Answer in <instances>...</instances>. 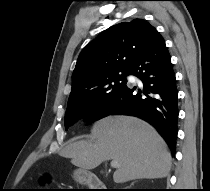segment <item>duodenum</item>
Wrapping results in <instances>:
<instances>
[{"label":"duodenum","mask_w":210,"mask_h":191,"mask_svg":"<svg viewBox=\"0 0 210 191\" xmlns=\"http://www.w3.org/2000/svg\"><path fill=\"white\" fill-rule=\"evenodd\" d=\"M78 179L79 181L86 183L92 189V191H112L107 188L104 182H102L99 178L89 174L85 170L78 171Z\"/></svg>","instance_id":"obj_1"}]
</instances>
